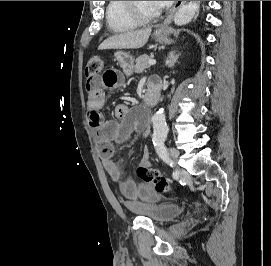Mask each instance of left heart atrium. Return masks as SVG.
Wrapping results in <instances>:
<instances>
[{
    "label": "left heart atrium",
    "instance_id": "39dd6f15",
    "mask_svg": "<svg viewBox=\"0 0 271 266\" xmlns=\"http://www.w3.org/2000/svg\"><path fill=\"white\" fill-rule=\"evenodd\" d=\"M173 1H153L158 10H162L172 4Z\"/></svg>",
    "mask_w": 271,
    "mask_h": 266
}]
</instances>
